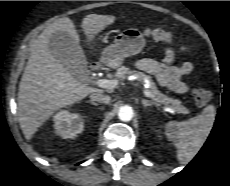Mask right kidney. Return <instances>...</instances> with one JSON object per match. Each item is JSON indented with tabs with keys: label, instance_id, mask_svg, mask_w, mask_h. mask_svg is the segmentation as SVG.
I'll return each mask as SVG.
<instances>
[{
	"label": "right kidney",
	"instance_id": "1",
	"mask_svg": "<svg viewBox=\"0 0 230 186\" xmlns=\"http://www.w3.org/2000/svg\"><path fill=\"white\" fill-rule=\"evenodd\" d=\"M53 120L56 133L64 139L74 138L84 128V117L66 110L58 112Z\"/></svg>",
	"mask_w": 230,
	"mask_h": 186
}]
</instances>
